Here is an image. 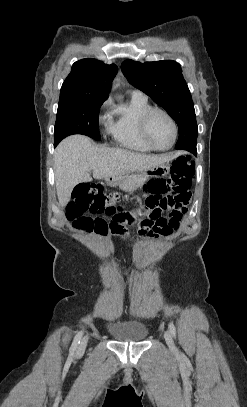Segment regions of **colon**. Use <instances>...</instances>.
<instances>
[{"instance_id": "1", "label": "colon", "mask_w": 247, "mask_h": 407, "mask_svg": "<svg viewBox=\"0 0 247 407\" xmlns=\"http://www.w3.org/2000/svg\"><path fill=\"white\" fill-rule=\"evenodd\" d=\"M195 174V164L188 156H182L173 162L166 178L152 180L144 190L149 195L160 196L175 204H187L190 200V188ZM118 195L106 192L100 184L77 186L66 208V216L74 226L85 231L107 234L112 231L103 219L85 217L88 214L116 215L121 210Z\"/></svg>"}]
</instances>
